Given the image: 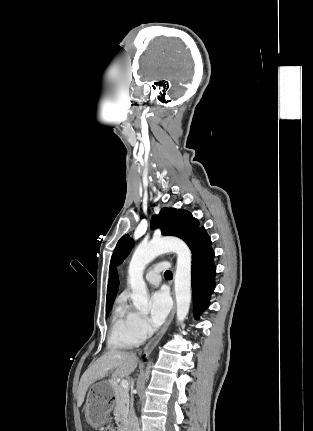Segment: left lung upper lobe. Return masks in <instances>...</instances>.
<instances>
[{"label": "left lung upper lobe", "mask_w": 313, "mask_h": 431, "mask_svg": "<svg viewBox=\"0 0 313 431\" xmlns=\"http://www.w3.org/2000/svg\"><path fill=\"white\" fill-rule=\"evenodd\" d=\"M151 228H161L163 235L176 236L183 239L189 247L204 227H199V222L188 211L175 208H162L159 215H154L151 220ZM133 240L129 235H124L118 241L111 257L113 265L120 264L133 247Z\"/></svg>", "instance_id": "left-lung-upper-lobe-1"}]
</instances>
